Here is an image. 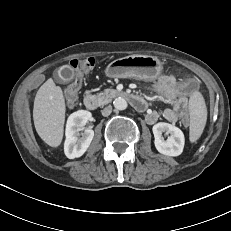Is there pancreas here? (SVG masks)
Masks as SVG:
<instances>
[{
	"instance_id": "1",
	"label": "pancreas",
	"mask_w": 231,
	"mask_h": 231,
	"mask_svg": "<svg viewBox=\"0 0 231 231\" xmlns=\"http://www.w3.org/2000/svg\"><path fill=\"white\" fill-rule=\"evenodd\" d=\"M115 94H116V91L106 89L104 92L98 93L96 97H97L98 103L100 105H104V104L109 103Z\"/></svg>"
}]
</instances>
